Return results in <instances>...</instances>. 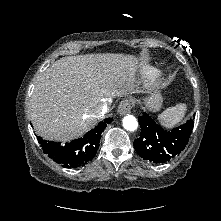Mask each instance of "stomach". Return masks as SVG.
I'll return each instance as SVG.
<instances>
[{
	"label": "stomach",
	"instance_id": "1",
	"mask_svg": "<svg viewBox=\"0 0 221 221\" xmlns=\"http://www.w3.org/2000/svg\"><path fill=\"white\" fill-rule=\"evenodd\" d=\"M162 102L163 99L159 91H154L145 99L146 109L153 112L159 111L162 106Z\"/></svg>",
	"mask_w": 221,
	"mask_h": 221
}]
</instances>
